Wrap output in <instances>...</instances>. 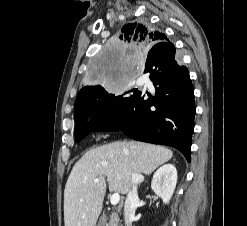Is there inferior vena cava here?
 <instances>
[{
  "label": "inferior vena cava",
  "mask_w": 247,
  "mask_h": 226,
  "mask_svg": "<svg viewBox=\"0 0 247 226\" xmlns=\"http://www.w3.org/2000/svg\"><path fill=\"white\" fill-rule=\"evenodd\" d=\"M142 181L141 175H139L136 172L132 173V188L128 192V195L126 197L125 205H124V219H125V225L131 226L135 211L139 203V197L137 192V185Z\"/></svg>",
  "instance_id": "1"
}]
</instances>
